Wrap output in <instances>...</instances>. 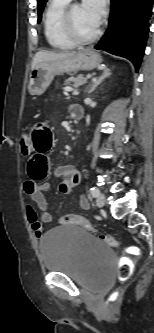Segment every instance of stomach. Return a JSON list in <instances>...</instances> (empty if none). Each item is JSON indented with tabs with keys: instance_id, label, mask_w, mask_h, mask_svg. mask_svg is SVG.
I'll list each match as a JSON object with an SVG mask.
<instances>
[{
	"instance_id": "0dacf381",
	"label": "stomach",
	"mask_w": 154,
	"mask_h": 333,
	"mask_svg": "<svg viewBox=\"0 0 154 333\" xmlns=\"http://www.w3.org/2000/svg\"><path fill=\"white\" fill-rule=\"evenodd\" d=\"M101 63V56L91 49L82 50L73 57L39 63L31 71L28 90L32 95H42L50 86L54 76L92 70Z\"/></svg>"
}]
</instances>
